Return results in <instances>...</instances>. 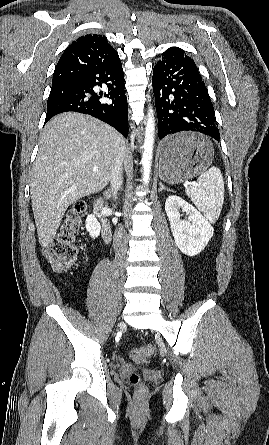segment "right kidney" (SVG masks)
Masks as SVG:
<instances>
[{
  "mask_svg": "<svg viewBox=\"0 0 269 445\" xmlns=\"http://www.w3.org/2000/svg\"><path fill=\"white\" fill-rule=\"evenodd\" d=\"M86 230L92 238H97L100 234L101 226L95 216L89 215L86 219Z\"/></svg>",
  "mask_w": 269,
  "mask_h": 445,
  "instance_id": "obj_1",
  "label": "right kidney"
}]
</instances>
